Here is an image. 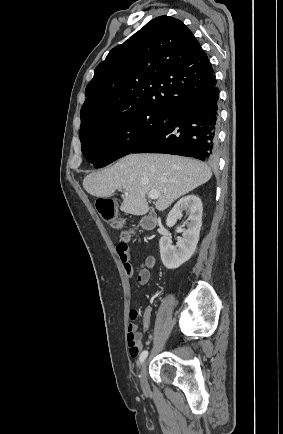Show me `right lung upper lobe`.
Segmentation results:
<instances>
[{
    "mask_svg": "<svg viewBox=\"0 0 283 434\" xmlns=\"http://www.w3.org/2000/svg\"><path fill=\"white\" fill-rule=\"evenodd\" d=\"M215 85L208 56L188 27L173 17H157L95 68L80 131L132 110L168 112Z\"/></svg>",
    "mask_w": 283,
    "mask_h": 434,
    "instance_id": "obj_1",
    "label": "right lung upper lobe"
}]
</instances>
